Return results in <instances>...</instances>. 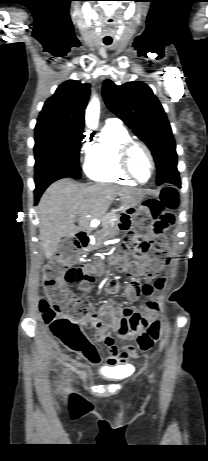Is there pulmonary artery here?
Wrapping results in <instances>:
<instances>
[{
  "label": "pulmonary artery",
  "instance_id": "1",
  "mask_svg": "<svg viewBox=\"0 0 208 461\" xmlns=\"http://www.w3.org/2000/svg\"><path fill=\"white\" fill-rule=\"evenodd\" d=\"M107 125H121V121L117 118H108L106 120Z\"/></svg>",
  "mask_w": 208,
  "mask_h": 461
}]
</instances>
